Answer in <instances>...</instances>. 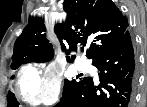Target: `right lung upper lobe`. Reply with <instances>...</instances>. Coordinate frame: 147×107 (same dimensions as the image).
<instances>
[{"label": "right lung upper lobe", "instance_id": "obj_1", "mask_svg": "<svg viewBox=\"0 0 147 107\" xmlns=\"http://www.w3.org/2000/svg\"><path fill=\"white\" fill-rule=\"evenodd\" d=\"M63 7L69 16L66 22L55 25L54 32L68 62L75 59L74 55L68 56L69 52L87 43L91 45L86 56L94 61L127 31L128 21L112 0H65ZM45 30L44 20H29L15 42L11 66L29 60L47 62L54 57Z\"/></svg>", "mask_w": 147, "mask_h": 107}]
</instances>
